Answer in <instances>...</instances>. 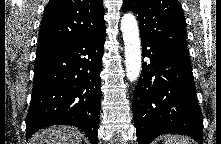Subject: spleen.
I'll use <instances>...</instances> for the list:
<instances>
[{"mask_svg":"<svg viewBox=\"0 0 221 144\" xmlns=\"http://www.w3.org/2000/svg\"><path fill=\"white\" fill-rule=\"evenodd\" d=\"M164 144H193V141L183 136L167 135Z\"/></svg>","mask_w":221,"mask_h":144,"instance_id":"3e777b00","label":"spleen"}]
</instances>
